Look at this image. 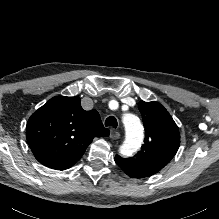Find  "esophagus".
<instances>
[{
  "label": "esophagus",
  "instance_id": "obj_1",
  "mask_svg": "<svg viewBox=\"0 0 219 219\" xmlns=\"http://www.w3.org/2000/svg\"><path fill=\"white\" fill-rule=\"evenodd\" d=\"M119 137H120L119 132H117V131L114 130V129H111V130H110V138H111V139H118Z\"/></svg>",
  "mask_w": 219,
  "mask_h": 219
}]
</instances>
